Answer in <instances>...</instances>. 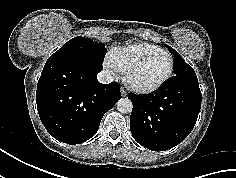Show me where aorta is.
Segmentation results:
<instances>
[{"mask_svg": "<svg viewBox=\"0 0 236 178\" xmlns=\"http://www.w3.org/2000/svg\"><path fill=\"white\" fill-rule=\"evenodd\" d=\"M132 108V102L128 98H121L117 102V109L120 113H130L132 111Z\"/></svg>", "mask_w": 236, "mask_h": 178, "instance_id": "obj_1", "label": "aorta"}]
</instances>
